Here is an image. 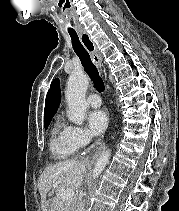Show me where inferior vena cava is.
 <instances>
[{
    "label": "inferior vena cava",
    "instance_id": "inferior-vena-cava-1",
    "mask_svg": "<svg viewBox=\"0 0 179 211\" xmlns=\"http://www.w3.org/2000/svg\"><path fill=\"white\" fill-rule=\"evenodd\" d=\"M90 140V137L88 138V141ZM78 211H85L84 210V205L82 203V201L80 202V205H79V210Z\"/></svg>",
    "mask_w": 179,
    "mask_h": 211
}]
</instances>
